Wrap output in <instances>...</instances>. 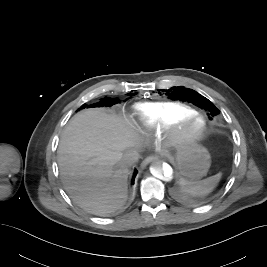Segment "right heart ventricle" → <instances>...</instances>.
<instances>
[{
  "label": "right heart ventricle",
  "instance_id": "e07e8e85",
  "mask_svg": "<svg viewBox=\"0 0 267 267\" xmlns=\"http://www.w3.org/2000/svg\"><path fill=\"white\" fill-rule=\"evenodd\" d=\"M194 112V108L182 102H144L133 107L132 116L145 130L157 133L167 124Z\"/></svg>",
  "mask_w": 267,
  "mask_h": 267
}]
</instances>
